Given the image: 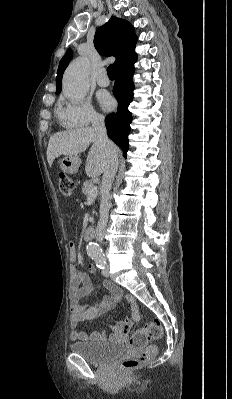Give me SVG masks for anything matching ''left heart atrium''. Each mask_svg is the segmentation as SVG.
Returning a JSON list of instances; mask_svg holds the SVG:
<instances>
[{
	"label": "left heart atrium",
	"instance_id": "obj_1",
	"mask_svg": "<svg viewBox=\"0 0 232 399\" xmlns=\"http://www.w3.org/2000/svg\"><path fill=\"white\" fill-rule=\"evenodd\" d=\"M101 105H102L103 109L106 111H111V110H114V108H115V103H114L113 99H111L108 96L104 97L101 100Z\"/></svg>",
	"mask_w": 232,
	"mask_h": 399
}]
</instances>
